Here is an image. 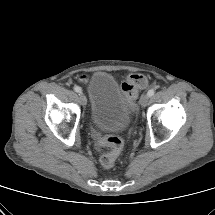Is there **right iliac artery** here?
<instances>
[{"instance_id":"1","label":"right iliac artery","mask_w":215,"mask_h":215,"mask_svg":"<svg viewBox=\"0 0 215 215\" xmlns=\"http://www.w3.org/2000/svg\"><path fill=\"white\" fill-rule=\"evenodd\" d=\"M74 90H75V92H77V93H81V88L78 87V86H75V87H74Z\"/></svg>"}]
</instances>
